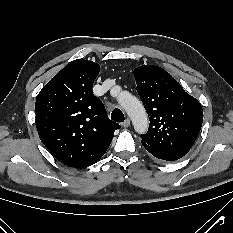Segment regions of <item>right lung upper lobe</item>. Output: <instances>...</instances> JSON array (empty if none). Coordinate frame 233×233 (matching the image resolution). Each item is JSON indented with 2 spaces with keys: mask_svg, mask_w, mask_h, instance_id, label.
I'll return each mask as SVG.
<instances>
[{
  "mask_svg": "<svg viewBox=\"0 0 233 233\" xmlns=\"http://www.w3.org/2000/svg\"><path fill=\"white\" fill-rule=\"evenodd\" d=\"M100 66L78 59L67 64L40 91L35 104L40 140L61 163L85 168L112 142L118 123L92 92Z\"/></svg>",
  "mask_w": 233,
  "mask_h": 233,
  "instance_id": "cb5924a9",
  "label": "right lung upper lobe"
}]
</instances>
